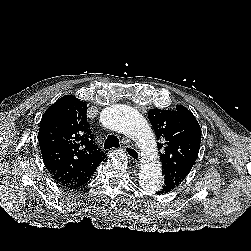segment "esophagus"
Returning <instances> with one entry per match:
<instances>
[{
    "mask_svg": "<svg viewBox=\"0 0 251 251\" xmlns=\"http://www.w3.org/2000/svg\"><path fill=\"white\" fill-rule=\"evenodd\" d=\"M124 150L127 153L128 157L135 163L138 162L140 155L139 152L131 145H125Z\"/></svg>",
    "mask_w": 251,
    "mask_h": 251,
    "instance_id": "esophagus-1",
    "label": "esophagus"
}]
</instances>
